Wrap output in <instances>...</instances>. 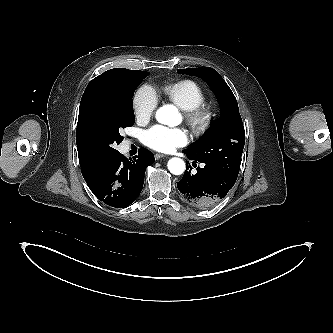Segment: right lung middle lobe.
Instances as JSON below:
<instances>
[{
	"label": "right lung middle lobe",
	"instance_id": "obj_1",
	"mask_svg": "<svg viewBox=\"0 0 333 333\" xmlns=\"http://www.w3.org/2000/svg\"><path fill=\"white\" fill-rule=\"evenodd\" d=\"M148 75L136 70L96 96L84 129V145L95 159L108 162L117 155L114 147L123 140L121 130L135 122L134 91Z\"/></svg>",
	"mask_w": 333,
	"mask_h": 333
}]
</instances>
